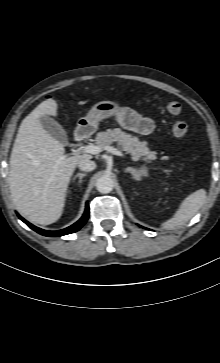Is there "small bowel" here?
<instances>
[{
    "mask_svg": "<svg viewBox=\"0 0 220 363\" xmlns=\"http://www.w3.org/2000/svg\"><path fill=\"white\" fill-rule=\"evenodd\" d=\"M116 120L124 128L141 135H149L155 129L153 120L138 111H122L116 116Z\"/></svg>",
    "mask_w": 220,
    "mask_h": 363,
    "instance_id": "small-bowel-1",
    "label": "small bowel"
}]
</instances>
